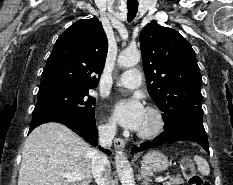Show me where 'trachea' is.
<instances>
[{"mask_svg":"<svg viewBox=\"0 0 233 185\" xmlns=\"http://www.w3.org/2000/svg\"><path fill=\"white\" fill-rule=\"evenodd\" d=\"M128 8V22H131L137 14L138 3H127Z\"/></svg>","mask_w":233,"mask_h":185,"instance_id":"1","label":"trachea"}]
</instances>
